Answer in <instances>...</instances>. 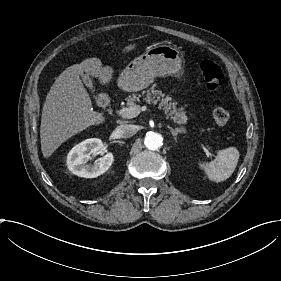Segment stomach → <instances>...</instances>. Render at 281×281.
Returning <instances> with one entry per match:
<instances>
[{
  "label": "stomach",
  "mask_w": 281,
  "mask_h": 281,
  "mask_svg": "<svg viewBox=\"0 0 281 281\" xmlns=\"http://www.w3.org/2000/svg\"><path fill=\"white\" fill-rule=\"evenodd\" d=\"M182 58L177 48L168 45L154 46L134 58L117 78V86L126 92L148 87L155 77L179 74Z\"/></svg>",
  "instance_id": "0dacf381"
}]
</instances>
